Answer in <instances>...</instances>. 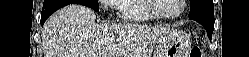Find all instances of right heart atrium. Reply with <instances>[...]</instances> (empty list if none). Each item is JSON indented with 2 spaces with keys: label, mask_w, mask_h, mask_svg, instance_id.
<instances>
[{
  "label": "right heart atrium",
  "mask_w": 249,
  "mask_h": 57,
  "mask_svg": "<svg viewBox=\"0 0 249 57\" xmlns=\"http://www.w3.org/2000/svg\"><path fill=\"white\" fill-rule=\"evenodd\" d=\"M121 0H114V1H101V3H103L104 5H109L111 7H114L116 9H118L117 4L120 2Z\"/></svg>",
  "instance_id": "1"
}]
</instances>
